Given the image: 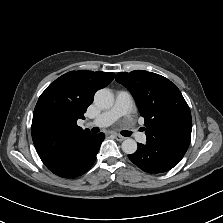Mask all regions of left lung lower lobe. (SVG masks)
<instances>
[{
    "label": "left lung lower lobe",
    "mask_w": 223,
    "mask_h": 223,
    "mask_svg": "<svg viewBox=\"0 0 223 223\" xmlns=\"http://www.w3.org/2000/svg\"><path fill=\"white\" fill-rule=\"evenodd\" d=\"M184 153L161 147L147 141L145 145L138 143L134 154L129 159L140 169L148 173H161L176 166L183 158Z\"/></svg>",
    "instance_id": "1"
}]
</instances>
